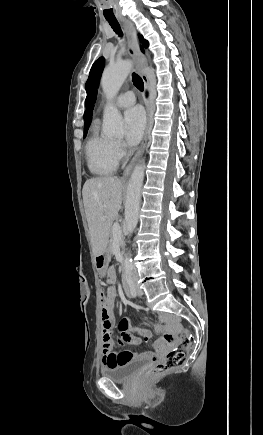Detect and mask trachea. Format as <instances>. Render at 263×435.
Returning <instances> with one entry per match:
<instances>
[{
  "mask_svg": "<svg viewBox=\"0 0 263 435\" xmlns=\"http://www.w3.org/2000/svg\"><path fill=\"white\" fill-rule=\"evenodd\" d=\"M107 21L109 22V24L112 27V29L120 37H122L123 34H122V31H121V28H120V25H119L118 21L117 20H107ZM132 81H133V84L135 85V87L137 89H139L140 91H143V88H144L143 80H142V78L138 74H136V73L132 74Z\"/></svg>",
  "mask_w": 263,
  "mask_h": 435,
  "instance_id": "obj_1",
  "label": "trachea"
}]
</instances>
